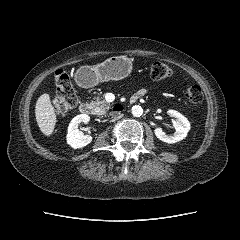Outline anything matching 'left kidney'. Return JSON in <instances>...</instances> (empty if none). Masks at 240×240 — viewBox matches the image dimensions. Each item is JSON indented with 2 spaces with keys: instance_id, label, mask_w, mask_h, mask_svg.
Segmentation results:
<instances>
[{
  "instance_id": "1",
  "label": "left kidney",
  "mask_w": 240,
  "mask_h": 240,
  "mask_svg": "<svg viewBox=\"0 0 240 240\" xmlns=\"http://www.w3.org/2000/svg\"><path fill=\"white\" fill-rule=\"evenodd\" d=\"M168 115L172 119L173 126L176 132L173 135H167L161 128H156L154 133L156 137L166 143L172 144L183 140L190 130V123L185 116L175 110H168Z\"/></svg>"
}]
</instances>
